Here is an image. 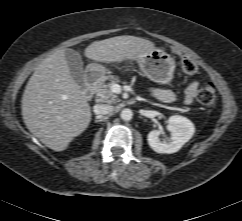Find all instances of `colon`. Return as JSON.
<instances>
[{
	"instance_id": "1",
	"label": "colon",
	"mask_w": 242,
	"mask_h": 221,
	"mask_svg": "<svg viewBox=\"0 0 242 221\" xmlns=\"http://www.w3.org/2000/svg\"><path fill=\"white\" fill-rule=\"evenodd\" d=\"M180 64L183 72L187 75H195L198 71L195 61L186 55H180ZM216 97L217 90L212 82L202 84L197 93V101L204 107L214 105Z\"/></svg>"
}]
</instances>
